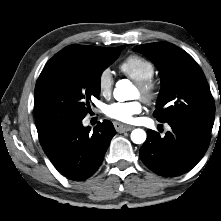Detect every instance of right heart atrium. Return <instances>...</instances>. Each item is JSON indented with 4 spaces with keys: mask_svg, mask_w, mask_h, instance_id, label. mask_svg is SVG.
<instances>
[{
    "mask_svg": "<svg viewBox=\"0 0 221 221\" xmlns=\"http://www.w3.org/2000/svg\"><path fill=\"white\" fill-rule=\"evenodd\" d=\"M114 84L112 73L109 69H104L98 76V88L102 95H109Z\"/></svg>",
    "mask_w": 221,
    "mask_h": 221,
    "instance_id": "1",
    "label": "right heart atrium"
}]
</instances>
